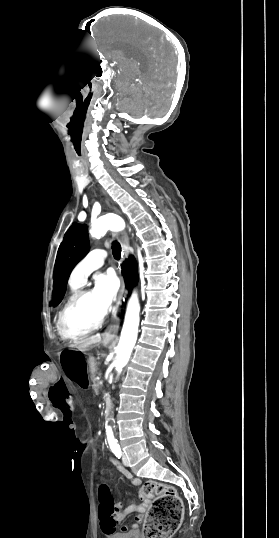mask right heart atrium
I'll list each match as a JSON object with an SVG mask.
<instances>
[{"label": "right heart atrium", "instance_id": "right-heart-atrium-1", "mask_svg": "<svg viewBox=\"0 0 279 538\" xmlns=\"http://www.w3.org/2000/svg\"><path fill=\"white\" fill-rule=\"evenodd\" d=\"M83 219H84V218L82 217L80 221H83Z\"/></svg>", "mask_w": 279, "mask_h": 538}]
</instances>
